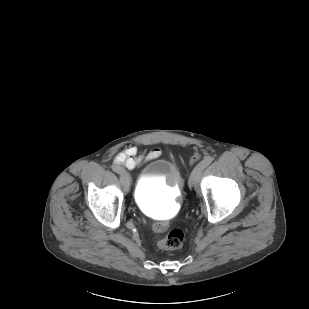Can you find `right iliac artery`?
<instances>
[{"mask_svg": "<svg viewBox=\"0 0 309 309\" xmlns=\"http://www.w3.org/2000/svg\"><path fill=\"white\" fill-rule=\"evenodd\" d=\"M112 169H113V171L116 172V173H120V172H121L122 175H125V174H126V171H125V170H122L121 167H119V166H117V165H113V166H112ZM121 170H122V171H121Z\"/></svg>", "mask_w": 309, "mask_h": 309, "instance_id": "82829eb1", "label": "right iliac artery"}]
</instances>
